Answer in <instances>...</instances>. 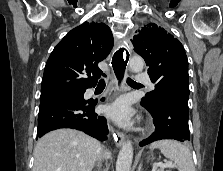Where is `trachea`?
Wrapping results in <instances>:
<instances>
[{"instance_id": "1", "label": "trachea", "mask_w": 223, "mask_h": 171, "mask_svg": "<svg viewBox=\"0 0 223 171\" xmlns=\"http://www.w3.org/2000/svg\"><path fill=\"white\" fill-rule=\"evenodd\" d=\"M127 83H128V84H139V83L133 81V80L130 79V78H127ZM99 84H105V81L102 79V80H100Z\"/></svg>"}]
</instances>
